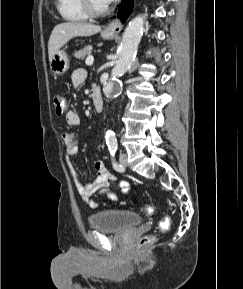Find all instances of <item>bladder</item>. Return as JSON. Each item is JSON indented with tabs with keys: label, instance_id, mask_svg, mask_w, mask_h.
<instances>
[{
	"label": "bladder",
	"instance_id": "1",
	"mask_svg": "<svg viewBox=\"0 0 243 289\" xmlns=\"http://www.w3.org/2000/svg\"><path fill=\"white\" fill-rule=\"evenodd\" d=\"M141 223V217L130 211L104 210L89 217L91 228L113 233H124Z\"/></svg>",
	"mask_w": 243,
	"mask_h": 289
}]
</instances>
